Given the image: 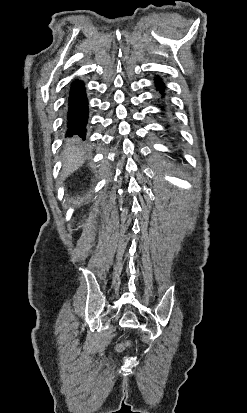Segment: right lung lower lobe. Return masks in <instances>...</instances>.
<instances>
[{
  "label": "right lung lower lobe",
  "mask_w": 247,
  "mask_h": 413,
  "mask_svg": "<svg viewBox=\"0 0 247 413\" xmlns=\"http://www.w3.org/2000/svg\"><path fill=\"white\" fill-rule=\"evenodd\" d=\"M88 106L84 84L76 80L72 82L68 98V116L66 135H79L85 140Z\"/></svg>",
  "instance_id": "98d812e1"
}]
</instances>
